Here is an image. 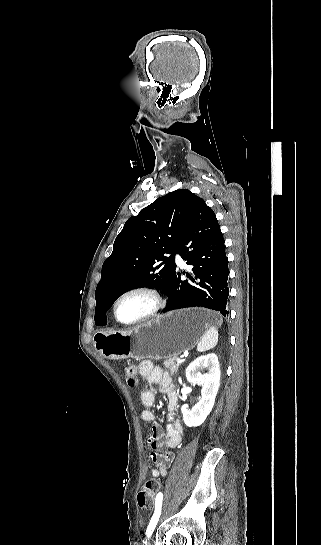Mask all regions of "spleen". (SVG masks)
Wrapping results in <instances>:
<instances>
[{"instance_id": "1", "label": "spleen", "mask_w": 321, "mask_h": 545, "mask_svg": "<svg viewBox=\"0 0 321 545\" xmlns=\"http://www.w3.org/2000/svg\"><path fill=\"white\" fill-rule=\"evenodd\" d=\"M219 333L217 327H210L203 335L200 343H198L197 351L203 353V351H209V349H214L218 343Z\"/></svg>"}]
</instances>
